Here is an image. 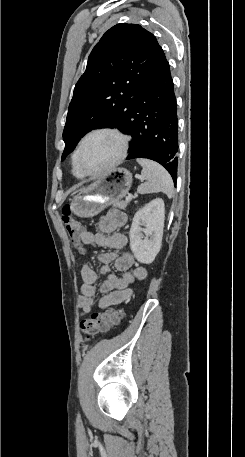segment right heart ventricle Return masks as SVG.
Here are the masks:
<instances>
[{
	"mask_svg": "<svg viewBox=\"0 0 245 457\" xmlns=\"http://www.w3.org/2000/svg\"><path fill=\"white\" fill-rule=\"evenodd\" d=\"M72 171H73V174L79 178V179H82L84 178V175L82 174V172L79 170L77 164H76V160H75V156L73 157V167H72Z\"/></svg>",
	"mask_w": 245,
	"mask_h": 457,
	"instance_id": "right-heart-ventricle-1",
	"label": "right heart ventricle"
}]
</instances>
